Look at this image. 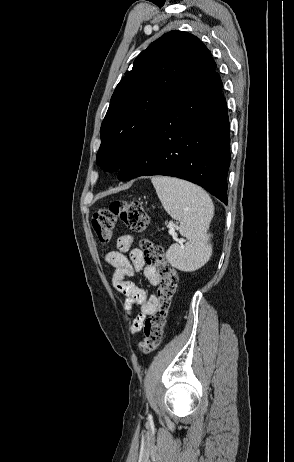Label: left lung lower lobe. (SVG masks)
Masks as SVG:
<instances>
[{
    "label": "left lung lower lobe",
    "mask_w": 294,
    "mask_h": 462,
    "mask_svg": "<svg viewBox=\"0 0 294 462\" xmlns=\"http://www.w3.org/2000/svg\"><path fill=\"white\" fill-rule=\"evenodd\" d=\"M221 89L214 70L182 90L125 159L118 179L178 177L198 184L227 205L230 137Z\"/></svg>",
    "instance_id": "obj_1"
}]
</instances>
